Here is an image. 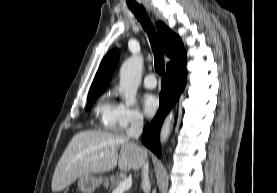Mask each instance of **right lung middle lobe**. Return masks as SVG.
Segmentation results:
<instances>
[{
    "instance_id": "obj_1",
    "label": "right lung middle lobe",
    "mask_w": 277,
    "mask_h": 193,
    "mask_svg": "<svg viewBox=\"0 0 277 193\" xmlns=\"http://www.w3.org/2000/svg\"><path fill=\"white\" fill-rule=\"evenodd\" d=\"M101 93L102 92H95L88 95L86 110H89L91 108V106Z\"/></svg>"
}]
</instances>
